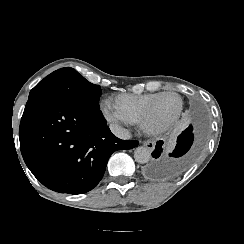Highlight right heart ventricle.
I'll use <instances>...</instances> for the list:
<instances>
[{
    "label": "right heart ventricle",
    "instance_id": "right-heart-ventricle-1",
    "mask_svg": "<svg viewBox=\"0 0 244 244\" xmlns=\"http://www.w3.org/2000/svg\"><path fill=\"white\" fill-rule=\"evenodd\" d=\"M154 95H121L114 99V107L121 109L128 106L130 109V122L142 124L146 118L151 117L147 110L150 101Z\"/></svg>",
    "mask_w": 244,
    "mask_h": 244
}]
</instances>
